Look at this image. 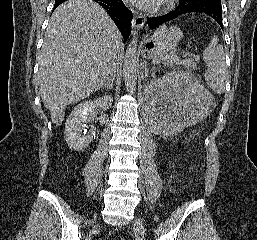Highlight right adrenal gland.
<instances>
[{"mask_svg":"<svg viewBox=\"0 0 257 240\" xmlns=\"http://www.w3.org/2000/svg\"><path fill=\"white\" fill-rule=\"evenodd\" d=\"M113 88V80L110 83H105L101 89L102 91L105 89L107 91L111 90Z\"/></svg>","mask_w":257,"mask_h":240,"instance_id":"2a0ac1e0","label":"right adrenal gland"}]
</instances>
